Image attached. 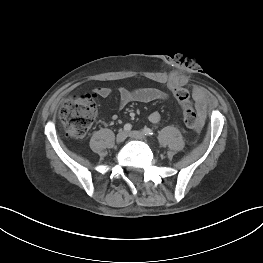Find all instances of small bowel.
Returning a JSON list of instances; mask_svg holds the SVG:
<instances>
[{
    "instance_id": "c3829d8e",
    "label": "small bowel",
    "mask_w": 263,
    "mask_h": 263,
    "mask_svg": "<svg viewBox=\"0 0 263 263\" xmlns=\"http://www.w3.org/2000/svg\"><path fill=\"white\" fill-rule=\"evenodd\" d=\"M175 86L176 85L173 84L170 85V90L172 91V93ZM94 92L97 96L106 98L111 94L112 90L108 87H98L95 89ZM118 93L121 106H125L131 102L148 103L156 100H166L168 98V94L166 92L154 87H141L134 90L121 87L118 89ZM193 98L202 122L201 126L199 127L198 133L192 139V142L196 143L204 133V129L206 126L205 115L207 108V99L203 91H201L200 89L194 90ZM160 120L161 115L157 111H154L149 115V121L153 124L159 123Z\"/></svg>"
}]
</instances>
